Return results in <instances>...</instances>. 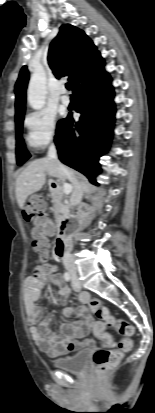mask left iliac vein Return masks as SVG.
Segmentation results:
<instances>
[{
  "instance_id": "obj_1",
  "label": "left iliac vein",
  "mask_w": 155,
  "mask_h": 413,
  "mask_svg": "<svg viewBox=\"0 0 155 413\" xmlns=\"http://www.w3.org/2000/svg\"><path fill=\"white\" fill-rule=\"evenodd\" d=\"M72 288L74 291L79 292L81 290V283L77 276L72 277Z\"/></svg>"
}]
</instances>
